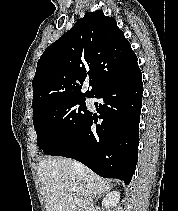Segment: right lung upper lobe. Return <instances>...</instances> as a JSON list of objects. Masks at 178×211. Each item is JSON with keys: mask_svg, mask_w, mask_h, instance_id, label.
<instances>
[{"mask_svg": "<svg viewBox=\"0 0 178 211\" xmlns=\"http://www.w3.org/2000/svg\"><path fill=\"white\" fill-rule=\"evenodd\" d=\"M137 68V57L115 19L102 11L87 12L38 60L33 115L57 102L93 97ZM87 79L91 90L82 93Z\"/></svg>", "mask_w": 178, "mask_h": 211, "instance_id": "right-lung-upper-lobe-1", "label": "right lung upper lobe"}]
</instances>
